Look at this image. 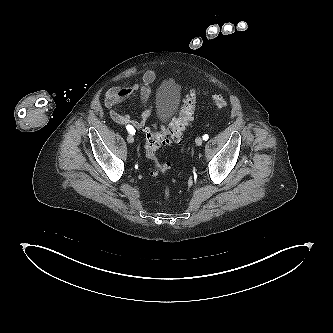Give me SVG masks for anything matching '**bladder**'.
<instances>
[{
  "label": "bladder",
  "instance_id": "obj_1",
  "mask_svg": "<svg viewBox=\"0 0 333 333\" xmlns=\"http://www.w3.org/2000/svg\"><path fill=\"white\" fill-rule=\"evenodd\" d=\"M181 97L179 84L172 80H164L157 89L155 111L160 119L167 118L177 107Z\"/></svg>",
  "mask_w": 333,
  "mask_h": 333
}]
</instances>
